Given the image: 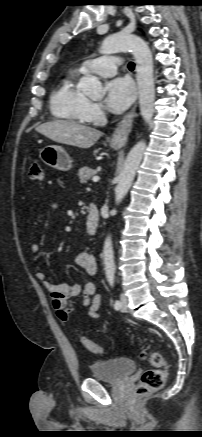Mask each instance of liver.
I'll use <instances>...</instances> for the list:
<instances>
[{"label":"liver","instance_id":"1","mask_svg":"<svg viewBox=\"0 0 202 437\" xmlns=\"http://www.w3.org/2000/svg\"><path fill=\"white\" fill-rule=\"evenodd\" d=\"M36 131L55 142L79 148H90L102 136L97 129L65 120L43 123Z\"/></svg>","mask_w":202,"mask_h":437}]
</instances>
